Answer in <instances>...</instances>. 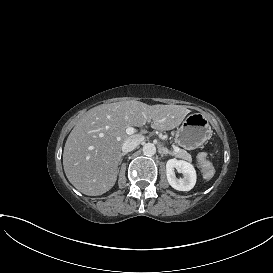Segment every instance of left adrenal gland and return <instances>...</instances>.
<instances>
[{"instance_id":"left-adrenal-gland-1","label":"left adrenal gland","mask_w":273,"mask_h":273,"mask_svg":"<svg viewBox=\"0 0 273 273\" xmlns=\"http://www.w3.org/2000/svg\"><path fill=\"white\" fill-rule=\"evenodd\" d=\"M161 154H164V155H166V154H169V155H171V152H169L166 148H164V147H162L161 148Z\"/></svg>"}]
</instances>
